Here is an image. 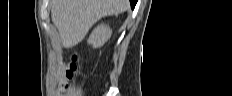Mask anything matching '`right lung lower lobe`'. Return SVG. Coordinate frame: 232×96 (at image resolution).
Listing matches in <instances>:
<instances>
[{"label":"right lung lower lobe","instance_id":"obj_1","mask_svg":"<svg viewBox=\"0 0 232 96\" xmlns=\"http://www.w3.org/2000/svg\"><path fill=\"white\" fill-rule=\"evenodd\" d=\"M136 3H137V0H130V4H131L132 9H134Z\"/></svg>","mask_w":232,"mask_h":96}]
</instances>
